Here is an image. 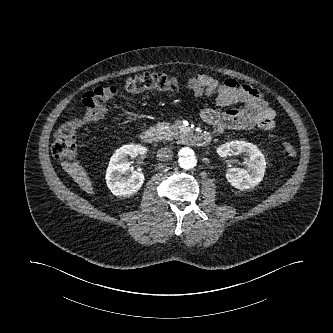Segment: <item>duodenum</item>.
Here are the masks:
<instances>
[{"mask_svg": "<svg viewBox=\"0 0 333 333\" xmlns=\"http://www.w3.org/2000/svg\"><path fill=\"white\" fill-rule=\"evenodd\" d=\"M155 138H156V134H155L154 131H144L140 135V140L143 143H146V144H150V143L154 142ZM182 139L187 144H190V145H193V146H198V147L207 146L211 141V137L207 134L192 133V132H185L183 134Z\"/></svg>", "mask_w": 333, "mask_h": 333, "instance_id": "duodenum-1", "label": "duodenum"}]
</instances>
